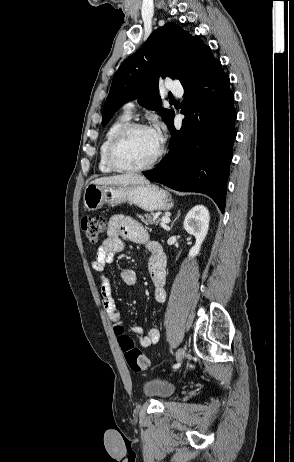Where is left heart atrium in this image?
Returning <instances> with one entry per match:
<instances>
[{
	"label": "left heart atrium",
	"mask_w": 294,
	"mask_h": 462,
	"mask_svg": "<svg viewBox=\"0 0 294 462\" xmlns=\"http://www.w3.org/2000/svg\"><path fill=\"white\" fill-rule=\"evenodd\" d=\"M152 132L159 143L161 145L165 139V134H164V127L161 124H158L155 128L152 129Z\"/></svg>",
	"instance_id": "39dd6f15"
}]
</instances>
